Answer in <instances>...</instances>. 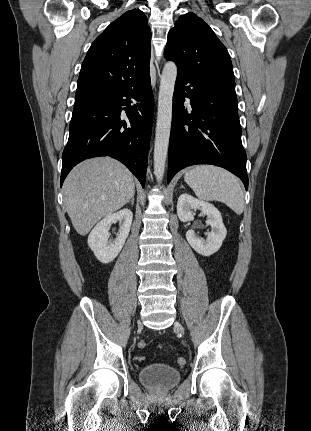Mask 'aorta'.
<instances>
[{
  "label": "aorta",
  "mask_w": 311,
  "mask_h": 431,
  "mask_svg": "<svg viewBox=\"0 0 311 431\" xmlns=\"http://www.w3.org/2000/svg\"><path fill=\"white\" fill-rule=\"evenodd\" d=\"M177 78V66L174 62H167L163 68L157 112V124L154 142V176L161 184L165 172L167 152L172 122V100Z\"/></svg>",
  "instance_id": "obj_1"
}]
</instances>
